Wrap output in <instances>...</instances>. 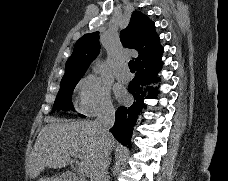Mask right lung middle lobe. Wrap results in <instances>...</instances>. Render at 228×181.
I'll list each match as a JSON object with an SVG mask.
<instances>
[{
    "label": "right lung middle lobe",
    "instance_id": "dd1d6c3e",
    "mask_svg": "<svg viewBox=\"0 0 228 181\" xmlns=\"http://www.w3.org/2000/svg\"><path fill=\"white\" fill-rule=\"evenodd\" d=\"M79 80L76 81H66V82H61L60 85V90L58 92V95L56 97L54 106H53V111L57 109L61 110H73V104L71 102V97L73 90L78 83ZM81 117H84L83 115H80Z\"/></svg>",
    "mask_w": 228,
    "mask_h": 181
}]
</instances>
